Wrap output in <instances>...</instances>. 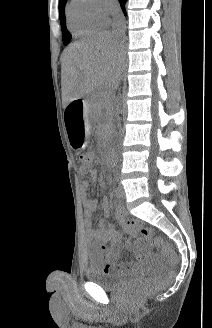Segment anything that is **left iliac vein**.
Listing matches in <instances>:
<instances>
[{
  "label": "left iliac vein",
  "instance_id": "1",
  "mask_svg": "<svg viewBox=\"0 0 212 328\" xmlns=\"http://www.w3.org/2000/svg\"><path fill=\"white\" fill-rule=\"evenodd\" d=\"M119 190H120L121 196L124 197L125 192H124L123 186L121 184L119 185Z\"/></svg>",
  "mask_w": 212,
  "mask_h": 328
}]
</instances>
